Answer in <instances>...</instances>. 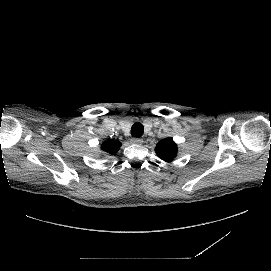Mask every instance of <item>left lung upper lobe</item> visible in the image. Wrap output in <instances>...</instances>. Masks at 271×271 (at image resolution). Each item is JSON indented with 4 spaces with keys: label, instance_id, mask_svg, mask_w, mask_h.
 Segmentation results:
<instances>
[{
    "label": "left lung upper lobe",
    "instance_id": "left-lung-upper-lobe-1",
    "mask_svg": "<svg viewBox=\"0 0 271 271\" xmlns=\"http://www.w3.org/2000/svg\"><path fill=\"white\" fill-rule=\"evenodd\" d=\"M155 151L162 160L171 162L176 157L177 146L172 139L167 138L157 144Z\"/></svg>",
    "mask_w": 271,
    "mask_h": 271
}]
</instances>
